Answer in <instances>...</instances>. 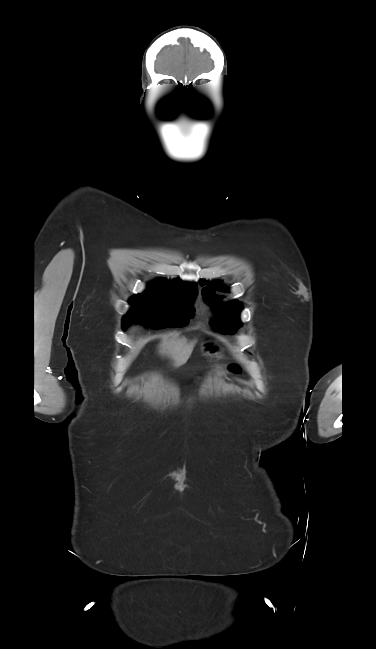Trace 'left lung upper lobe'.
<instances>
[{
  "label": "left lung upper lobe",
  "mask_w": 376,
  "mask_h": 649,
  "mask_svg": "<svg viewBox=\"0 0 376 649\" xmlns=\"http://www.w3.org/2000/svg\"><path fill=\"white\" fill-rule=\"evenodd\" d=\"M200 284L203 286L209 284L206 288H203L202 293L205 297V300L211 303L214 306H220L221 304L217 300L218 297L214 294L215 290H220L227 292L228 289L222 287V281H214L209 283L208 281H200ZM230 307L228 309L220 311L221 320L217 321L218 328L221 332H235L236 328L242 325L239 320V312L242 309V305L236 300L229 302ZM224 324L225 328H222L221 325Z\"/></svg>",
  "instance_id": "1"
}]
</instances>
